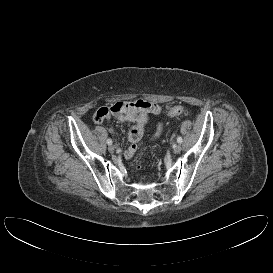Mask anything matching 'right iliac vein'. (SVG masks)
<instances>
[{
	"label": "right iliac vein",
	"instance_id": "obj_1",
	"mask_svg": "<svg viewBox=\"0 0 273 273\" xmlns=\"http://www.w3.org/2000/svg\"><path fill=\"white\" fill-rule=\"evenodd\" d=\"M108 150H109L110 153H113L115 151V146L114 145H110L108 147Z\"/></svg>",
	"mask_w": 273,
	"mask_h": 273
}]
</instances>
